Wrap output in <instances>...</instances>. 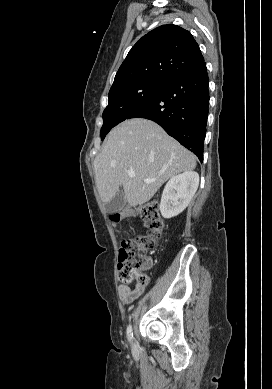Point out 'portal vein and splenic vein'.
I'll use <instances>...</instances> for the list:
<instances>
[{
  "instance_id": "18ae733b",
  "label": "portal vein and splenic vein",
  "mask_w": 272,
  "mask_h": 389,
  "mask_svg": "<svg viewBox=\"0 0 272 389\" xmlns=\"http://www.w3.org/2000/svg\"><path fill=\"white\" fill-rule=\"evenodd\" d=\"M127 174H128V176H129L130 178H133V177H135V172H134V171H132V170L128 171V172H127ZM144 182H146V183H150V182H153V180H150V179H145V180H144Z\"/></svg>"
}]
</instances>
